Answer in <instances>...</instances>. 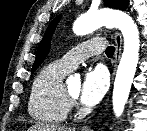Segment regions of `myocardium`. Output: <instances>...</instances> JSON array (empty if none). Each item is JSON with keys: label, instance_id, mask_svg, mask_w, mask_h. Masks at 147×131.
I'll list each match as a JSON object with an SVG mask.
<instances>
[{"label": "myocardium", "instance_id": "obj_1", "mask_svg": "<svg viewBox=\"0 0 147 131\" xmlns=\"http://www.w3.org/2000/svg\"><path fill=\"white\" fill-rule=\"evenodd\" d=\"M64 94H65V97H66L67 101L69 102V104L72 105L75 102L76 97L68 91V89L65 85H64Z\"/></svg>", "mask_w": 147, "mask_h": 131}]
</instances>
